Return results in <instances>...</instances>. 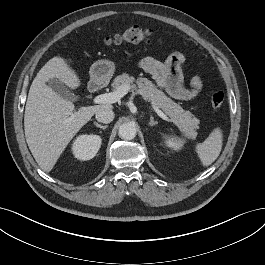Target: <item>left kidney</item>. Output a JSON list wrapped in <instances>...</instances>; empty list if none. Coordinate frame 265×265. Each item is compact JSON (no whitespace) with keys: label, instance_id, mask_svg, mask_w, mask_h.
I'll use <instances>...</instances> for the list:
<instances>
[{"label":"left kidney","instance_id":"1","mask_svg":"<svg viewBox=\"0 0 265 265\" xmlns=\"http://www.w3.org/2000/svg\"><path fill=\"white\" fill-rule=\"evenodd\" d=\"M165 144L169 148H172L174 150H179L184 145V141L177 137H167L165 140Z\"/></svg>","mask_w":265,"mask_h":265}]
</instances>
